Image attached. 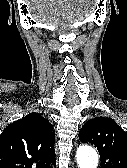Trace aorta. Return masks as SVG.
Segmentation results:
<instances>
[{"instance_id": "1", "label": "aorta", "mask_w": 127, "mask_h": 168, "mask_svg": "<svg viewBox=\"0 0 127 168\" xmlns=\"http://www.w3.org/2000/svg\"><path fill=\"white\" fill-rule=\"evenodd\" d=\"M76 158L79 168H97L98 166V154L90 146H80L77 149Z\"/></svg>"}]
</instances>
